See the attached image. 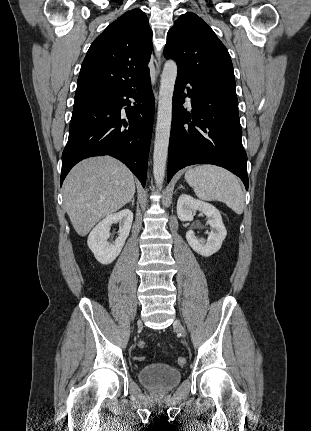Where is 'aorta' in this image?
<instances>
[{
	"instance_id": "aorta-1",
	"label": "aorta",
	"mask_w": 311,
	"mask_h": 431,
	"mask_svg": "<svg viewBox=\"0 0 311 431\" xmlns=\"http://www.w3.org/2000/svg\"><path fill=\"white\" fill-rule=\"evenodd\" d=\"M176 78L177 66L173 60H168L164 64L161 76L153 152V178L157 188H161L165 178L172 122V98Z\"/></svg>"
}]
</instances>
